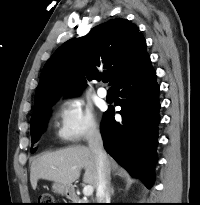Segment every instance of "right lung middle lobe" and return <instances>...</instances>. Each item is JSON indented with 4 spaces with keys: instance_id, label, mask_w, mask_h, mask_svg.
I'll use <instances>...</instances> for the list:
<instances>
[{
    "instance_id": "right-lung-middle-lobe-1",
    "label": "right lung middle lobe",
    "mask_w": 200,
    "mask_h": 205,
    "mask_svg": "<svg viewBox=\"0 0 200 205\" xmlns=\"http://www.w3.org/2000/svg\"><path fill=\"white\" fill-rule=\"evenodd\" d=\"M58 99H52L44 102L39 108L38 113L31 118V139L32 143H35L41 134L45 131L46 123L48 121V113L50 107H52ZM32 149L31 152H34Z\"/></svg>"
}]
</instances>
